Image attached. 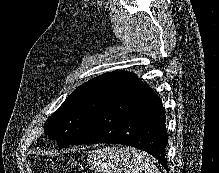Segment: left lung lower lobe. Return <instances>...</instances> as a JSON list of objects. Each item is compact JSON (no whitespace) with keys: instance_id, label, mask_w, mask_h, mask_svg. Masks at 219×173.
<instances>
[{"instance_id":"1","label":"left lung lower lobe","mask_w":219,"mask_h":173,"mask_svg":"<svg viewBox=\"0 0 219 173\" xmlns=\"http://www.w3.org/2000/svg\"><path fill=\"white\" fill-rule=\"evenodd\" d=\"M113 143L154 156L168 170V143L161 99L138 78L108 102L72 145Z\"/></svg>"}]
</instances>
